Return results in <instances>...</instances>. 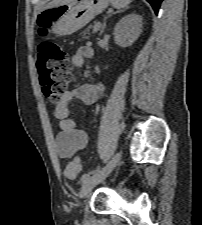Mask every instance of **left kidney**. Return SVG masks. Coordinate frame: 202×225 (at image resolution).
I'll return each instance as SVG.
<instances>
[{
  "mask_svg": "<svg viewBox=\"0 0 202 225\" xmlns=\"http://www.w3.org/2000/svg\"><path fill=\"white\" fill-rule=\"evenodd\" d=\"M143 18L135 13L123 17L114 28L115 43L120 47L131 46L142 33Z\"/></svg>",
  "mask_w": 202,
  "mask_h": 225,
  "instance_id": "left-kidney-1",
  "label": "left kidney"
}]
</instances>
